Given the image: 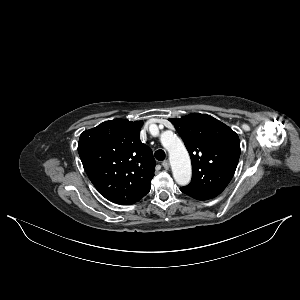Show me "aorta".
Returning a JSON list of instances; mask_svg holds the SVG:
<instances>
[{
    "label": "aorta",
    "mask_w": 300,
    "mask_h": 300,
    "mask_svg": "<svg viewBox=\"0 0 300 300\" xmlns=\"http://www.w3.org/2000/svg\"><path fill=\"white\" fill-rule=\"evenodd\" d=\"M161 143L169 152L172 173L177 184H189L192 175L191 161L181 139L170 131L161 135Z\"/></svg>",
    "instance_id": "obj_1"
}]
</instances>
